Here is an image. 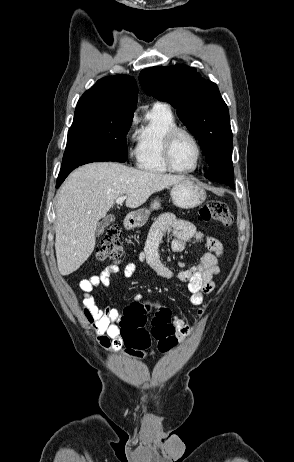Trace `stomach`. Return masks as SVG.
<instances>
[{"label":"stomach","instance_id":"0dacf381","mask_svg":"<svg viewBox=\"0 0 294 462\" xmlns=\"http://www.w3.org/2000/svg\"><path fill=\"white\" fill-rule=\"evenodd\" d=\"M171 199L175 206L183 209H190L199 206L206 199L205 190L189 178H185L172 185L170 191ZM160 203L154 200L150 209L141 208L132 213V223L135 227L143 226L151 210L159 209Z\"/></svg>","mask_w":294,"mask_h":462}]
</instances>
